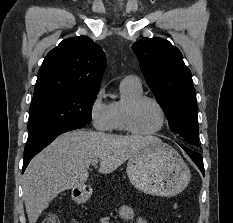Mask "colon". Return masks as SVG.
<instances>
[{
	"label": "colon",
	"mask_w": 233,
	"mask_h": 223,
	"mask_svg": "<svg viewBox=\"0 0 233 223\" xmlns=\"http://www.w3.org/2000/svg\"><path fill=\"white\" fill-rule=\"evenodd\" d=\"M43 223H60L58 216L54 213H50L44 220Z\"/></svg>",
	"instance_id": "obj_1"
}]
</instances>
